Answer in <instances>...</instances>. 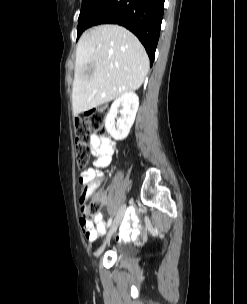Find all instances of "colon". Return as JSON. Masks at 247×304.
Wrapping results in <instances>:
<instances>
[{"label": "colon", "instance_id": "5ec220e1", "mask_svg": "<svg viewBox=\"0 0 247 304\" xmlns=\"http://www.w3.org/2000/svg\"><path fill=\"white\" fill-rule=\"evenodd\" d=\"M107 116V108L100 106L91 109L81 116L75 118V159L77 167L84 168L90 155V147L88 145L91 131L100 134L104 132L105 120ZM89 188L87 185L82 184L80 188V204L81 215L84 222H91L94 217L99 213L102 206V199L89 200Z\"/></svg>", "mask_w": 247, "mask_h": 304}]
</instances>
